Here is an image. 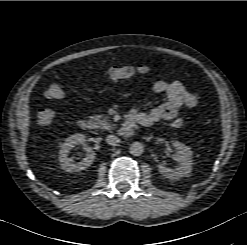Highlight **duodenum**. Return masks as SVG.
Listing matches in <instances>:
<instances>
[{
    "mask_svg": "<svg viewBox=\"0 0 247 245\" xmlns=\"http://www.w3.org/2000/svg\"><path fill=\"white\" fill-rule=\"evenodd\" d=\"M137 124V120L134 114H130L121 128L119 129V135L124 138H129L133 135L135 125ZM78 125L83 130H89L92 127V122L88 118H81L78 122ZM146 126L147 125H143Z\"/></svg>",
    "mask_w": 247,
    "mask_h": 245,
    "instance_id": "1",
    "label": "duodenum"
}]
</instances>
